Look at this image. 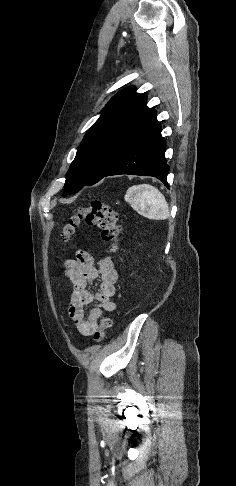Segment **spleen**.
Segmentation results:
<instances>
[{"label":"spleen","instance_id":"spleen-1","mask_svg":"<svg viewBox=\"0 0 236 486\" xmlns=\"http://www.w3.org/2000/svg\"><path fill=\"white\" fill-rule=\"evenodd\" d=\"M125 201L140 215L154 220H164L170 215L164 195L148 184L134 185L125 194Z\"/></svg>","mask_w":236,"mask_h":486}]
</instances>
